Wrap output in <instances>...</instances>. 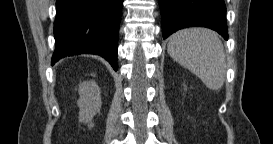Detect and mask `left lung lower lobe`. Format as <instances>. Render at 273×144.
I'll use <instances>...</instances> for the list:
<instances>
[{
	"label": "left lung lower lobe",
	"mask_w": 273,
	"mask_h": 144,
	"mask_svg": "<svg viewBox=\"0 0 273 144\" xmlns=\"http://www.w3.org/2000/svg\"><path fill=\"white\" fill-rule=\"evenodd\" d=\"M163 38L189 26L217 31L228 39L224 0H159Z\"/></svg>",
	"instance_id": "0a47b994"
}]
</instances>
